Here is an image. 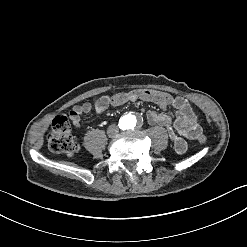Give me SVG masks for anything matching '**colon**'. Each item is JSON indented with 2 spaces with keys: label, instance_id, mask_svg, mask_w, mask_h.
<instances>
[{
  "label": "colon",
  "instance_id": "1",
  "mask_svg": "<svg viewBox=\"0 0 247 247\" xmlns=\"http://www.w3.org/2000/svg\"><path fill=\"white\" fill-rule=\"evenodd\" d=\"M142 97L144 101H159L158 107L165 109L167 107V94L161 92L160 88H134L133 93L115 92L113 95L114 102L112 106L117 108V101H137ZM205 135L199 136V141H205ZM47 144L51 152L58 154L74 155L78 150V144L71 135V122L65 116H58L51 124L47 133Z\"/></svg>",
  "mask_w": 247,
  "mask_h": 247
}]
</instances>
